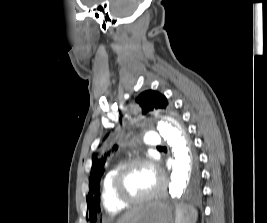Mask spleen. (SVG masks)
Wrapping results in <instances>:
<instances>
[{
	"mask_svg": "<svg viewBox=\"0 0 267 223\" xmlns=\"http://www.w3.org/2000/svg\"><path fill=\"white\" fill-rule=\"evenodd\" d=\"M198 212L194 206L188 204L176 205L175 223H196Z\"/></svg>",
	"mask_w": 267,
	"mask_h": 223,
	"instance_id": "3e777b00",
	"label": "spleen"
}]
</instances>
